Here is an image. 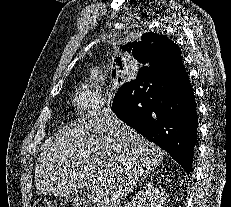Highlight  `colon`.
I'll use <instances>...</instances> for the list:
<instances>
[{
  "label": "colon",
  "mask_w": 231,
  "mask_h": 207,
  "mask_svg": "<svg viewBox=\"0 0 231 207\" xmlns=\"http://www.w3.org/2000/svg\"><path fill=\"white\" fill-rule=\"evenodd\" d=\"M33 207H80L78 203L68 199L58 198L53 201L38 200Z\"/></svg>",
  "instance_id": "obj_1"
}]
</instances>
